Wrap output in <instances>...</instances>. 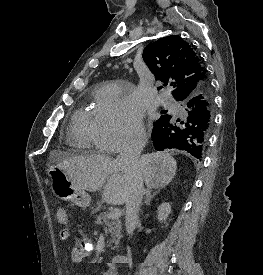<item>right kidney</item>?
<instances>
[{
	"instance_id": "1",
	"label": "right kidney",
	"mask_w": 263,
	"mask_h": 275,
	"mask_svg": "<svg viewBox=\"0 0 263 275\" xmlns=\"http://www.w3.org/2000/svg\"><path fill=\"white\" fill-rule=\"evenodd\" d=\"M171 213V206L169 203H162L157 209V218L160 222H163L167 219Z\"/></svg>"
}]
</instances>
